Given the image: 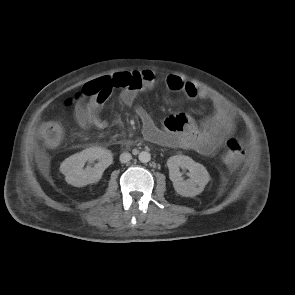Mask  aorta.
Returning a JSON list of instances; mask_svg holds the SVG:
<instances>
[{"label": "aorta", "mask_w": 295, "mask_h": 295, "mask_svg": "<svg viewBox=\"0 0 295 295\" xmlns=\"http://www.w3.org/2000/svg\"><path fill=\"white\" fill-rule=\"evenodd\" d=\"M138 159L142 163H148L151 160V155L147 151H142L139 153Z\"/></svg>", "instance_id": "1"}]
</instances>
